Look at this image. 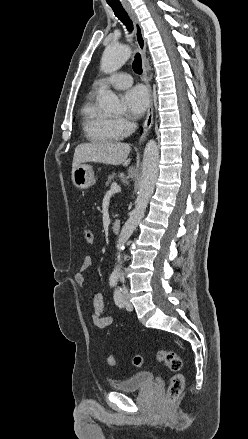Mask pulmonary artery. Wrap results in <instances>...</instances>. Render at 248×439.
I'll list each match as a JSON object with an SVG mask.
<instances>
[{"instance_id": "1", "label": "pulmonary artery", "mask_w": 248, "mask_h": 439, "mask_svg": "<svg viewBox=\"0 0 248 439\" xmlns=\"http://www.w3.org/2000/svg\"><path fill=\"white\" fill-rule=\"evenodd\" d=\"M133 83L132 77L128 73H118L109 78L99 79L95 83V90L101 86L110 85L117 89H125Z\"/></svg>"}]
</instances>
